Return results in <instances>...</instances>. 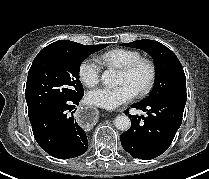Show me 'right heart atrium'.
Returning a JSON list of instances; mask_svg holds the SVG:
<instances>
[{
    "label": "right heart atrium",
    "instance_id": "1",
    "mask_svg": "<svg viewBox=\"0 0 209 179\" xmlns=\"http://www.w3.org/2000/svg\"><path fill=\"white\" fill-rule=\"evenodd\" d=\"M101 68L96 60L92 58L84 59L78 68V77L87 87H94L100 81Z\"/></svg>",
    "mask_w": 209,
    "mask_h": 179
}]
</instances>
